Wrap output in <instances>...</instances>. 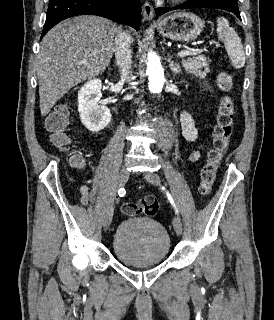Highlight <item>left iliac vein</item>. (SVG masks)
<instances>
[{"label":"left iliac vein","instance_id":"4c4485c4","mask_svg":"<svg viewBox=\"0 0 274 320\" xmlns=\"http://www.w3.org/2000/svg\"><path fill=\"white\" fill-rule=\"evenodd\" d=\"M144 178L151 183L152 185H159L160 184V177L158 174L154 172H147L144 174ZM173 228L177 235L182 234V222L178 216L173 218Z\"/></svg>","mask_w":274,"mask_h":320}]
</instances>
